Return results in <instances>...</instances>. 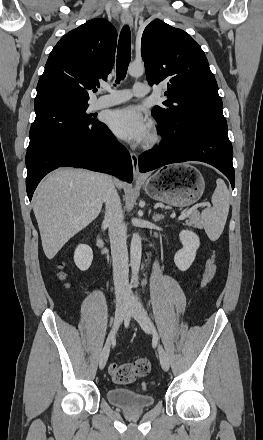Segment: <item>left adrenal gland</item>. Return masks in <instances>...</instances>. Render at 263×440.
I'll return each mask as SVG.
<instances>
[{
	"mask_svg": "<svg viewBox=\"0 0 263 440\" xmlns=\"http://www.w3.org/2000/svg\"><path fill=\"white\" fill-rule=\"evenodd\" d=\"M152 219L154 220V222H159L160 220L164 219V215H162V214H154Z\"/></svg>",
	"mask_w": 263,
	"mask_h": 440,
	"instance_id": "1",
	"label": "left adrenal gland"
}]
</instances>
